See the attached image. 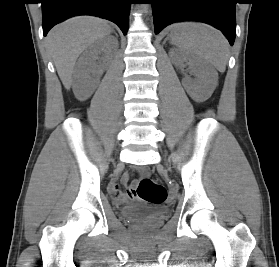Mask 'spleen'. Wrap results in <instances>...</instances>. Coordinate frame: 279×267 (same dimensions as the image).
I'll list each match as a JSON object with an SVG mask.
<instances>
[{
  "mask_svg": "<svg viewBox=\"0 0 279 267\" xmlns=\"http://www.w3.org/2000/svg\"><path fill=\"white\" fill-rule=\"evenodd\" d=\"M171 43L183 51L210 63L224 72L229 57V44L222 33L209 25L183 22L173 25Z\"/></svg>",
  "mask_w": 279,
  "mask_h": 267,
  "instance_id": "3e777b00",
  "label": "spleen"
}]
</instances>
